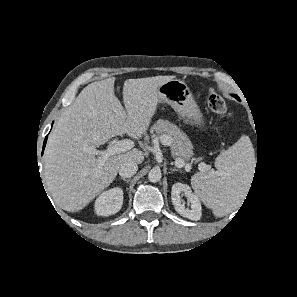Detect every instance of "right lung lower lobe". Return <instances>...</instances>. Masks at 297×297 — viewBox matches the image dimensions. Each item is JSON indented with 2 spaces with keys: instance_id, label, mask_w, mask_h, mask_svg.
Segmentation results:
<instances>
[{
  "instance_id": "right-lung-lower-lobe-1",
  "label": "right lung lower lobe",
  "mask_w": 297,
  "mask_h": 297,
  "mask_svg": "<svg viewBox=\"0 0 297 297\" xmlns=\"http://www.w3.org/2000/svg\"><path fill=\"white\" fill-rule=\"evenodd\" d=\"M46 142H47V136H46V138H45V140H44L43 150H44V148H45ZM43 150H42V154H43Z\"/></svg>"
}]
</instances>
